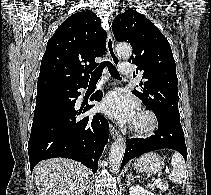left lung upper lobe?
Segmentation results:
<instances>
[{"label": "left lung upper lobe", "instance_id": "obj_1", "mask_svg": "<svg viewBox=\"0 0 211 195\" xmlns=\"http://www.w3.org/2000/svg\"><path fill=\"white\" fill-rule=\"evenodd\" d=\"M117 41L129 42L133 52L129 62L143 74L141 89L133 91L155 115L180 119L178 112V78L176 65L168 40L144 15L127 10L112 23Z\"/></svg>", "mask_w": 211, "mask_h": 195}]
</instances>
